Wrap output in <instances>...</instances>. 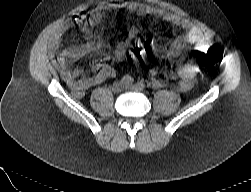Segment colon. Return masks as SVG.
Returning <instances> with one entry per match:
<instances>
[{
  "label": "colon",
  "mask_w": 251,
  "mask_h": 192,
  "mask_svg": "<svg viewBox=\"0 0 251 192\" xmlns=\"http://www.w3.org/2000/svg\"><path fill=\"white\" fill-rule=\"evenodd\" d=\"M148 44L146 42L137 41L132 43L129 54L132 57H143L148 53ZM222 57L217 52L208 53L200 62V68L204 71H212L220 66Z\"/></svg>",
  "instance_id": "obj_1"
}]
</instances>
